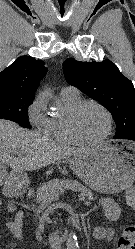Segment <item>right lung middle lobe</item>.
<instances>
[{
  "mask_svg": "<svg viewBox=\"0 0 135 249\" xmlns=\"http://www.w3.org/2000/svg\"><path fill=\"white\" fill-rule=\"evenodd\" d=\"M34 97L23 95L0 94V118H5L31 128L28 122V106Z\"/></svg>",
  "mask_w": 135,
  "mask_h": 249,
  "instance_id": "dd1d6c3e",
  "label": "right lung middle lobe"
}]
</instances>
